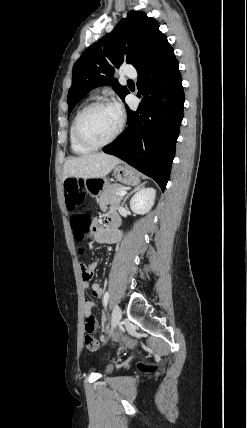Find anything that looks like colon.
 Masks as SVG:
<instances>
[{"instance_id":"obj_1","label":"colon","mask_w":247,"mask_h":428,"mask_svg":"<svg viewBox=\"0 0 247 428\" xmlns=\"http://www.w3.org/2000/svg\"><path fill=\"white\" fill-rule=\"evenodd\" d=\"M64 190L65 207L69 216L73 217L72 227L74 235L78 241H81L90 232L93 225V218L89 217V208L85 204L83 185L78 179L68 178L64 182ZM84 303L87 308L97 307V302L93 300H85ZM84 326L88 333L84 338V343L89 350L95 351L98 349L99 343L92 335L95 334L98 323L96 320L87 317L84 320ZM128 344L132 345L134 341L129 340Z\"/></svg>"}]
</instances>
